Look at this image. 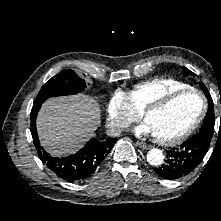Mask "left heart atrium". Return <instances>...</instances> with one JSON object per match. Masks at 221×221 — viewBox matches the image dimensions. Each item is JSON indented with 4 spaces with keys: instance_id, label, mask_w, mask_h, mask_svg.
<instances>
[{
    "instance_id": "39dd6f15",
    "label": "left heart atrium",
    "mask_w": 221,
    "mask_h": 221,
    "mask_svg": "<svg viewBox=\"0 0 221 221\" xmlns=\"http://www.w3.org/2000/svg\"><path fill=\"white\" fill-rule=\"evenodd\" d=\"M133 132L135 135L137 136H143V135H151L153 134L152 133V130L150 128V126L146 123V122H143L141 123L140 125H138L137 127H135L133 129Z\"/></svg>"
}]
</instances>
